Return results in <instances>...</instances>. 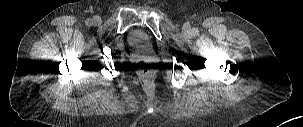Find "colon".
Listing matches in <instances>:
<instances>
[{
	"mask_svg": "<svg viewBox=\"0 0 303 127\" xmlns=\"http://www.w3.org/2000/svg\"><path fill=\"white\" fill-rule=\"evenodd\" d=\"M141 70L144 74H148L149 73V66L147 64H141Z\"/></svg>",
	"mask_w": 303,
	"mask_h": 127,
	"instance_id": "colon-1",
	"label": "colon"
}]
</instances>
